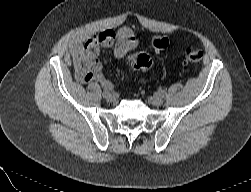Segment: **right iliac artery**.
Instances as JSON below:
<instances>
[{"instance_id":"right-iliac-artery-1","label":"right iliac artery","mask_w":251,"mask_h":192,"mask_svg":"<svg viewBox=\"0 0 251 192\" xmlns=\"http://www.w3.org/2000/svg\"><path fill=\"white\" fill-rule=\"evenodd\" d=\"M111 88H105L104 92H103V97H107V95L110 94Z\"/></svg>"}]
</instances>
